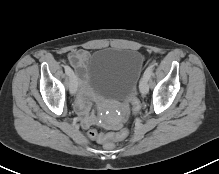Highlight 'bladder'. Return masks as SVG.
Returning <instances> with one entry per match:
<instances>
[{
    "label": "bladder",
    "instance_id": "31cf9c89",
    "mask_svg": "<svg viewBox=\"0 0 219 174\" xmlns=\"http://www.w3.org/2000/svg\"><path fill=\"white\" fill-rule=\"evenodd\" d=\"M143 62L144 56L138 50L99 49L90 55L86 64L88 85L102 97L124 100L132 94Z\"/></svg>",
    "mask_w": 219,
    "mask_h": 174
}]
</instances>
